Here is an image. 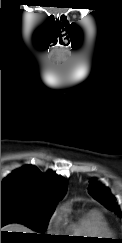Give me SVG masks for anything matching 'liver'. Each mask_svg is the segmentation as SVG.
Wrapping results in <instances>:
<instances>
[{
  "label": "liver",
  "mask_w": 122,
  "mask_h": 243,
  "mask_svg": "<svg viewBox=\"0 0 122 243\" xmlns=\"http://www.w3.org/2000/svg\"><path fill=\"white\" fill-rule=\"evenodd\" d=\"M1 231L6 232H23V233H31V230L27 227L20 224H10L1 229Z\"/></svg>",
  "instance_id": "6515ba94"
}]
</instances>
